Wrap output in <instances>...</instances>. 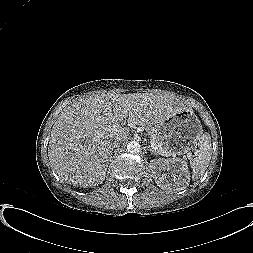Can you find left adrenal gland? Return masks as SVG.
I'll return each instance as SVG.
<instances>
[{
	"instance_id": "obj_1",
	"label": "left adrenal gland",
	"mask_w": 253,
	"mask_h": 253,
	"mask_svg": "<svg viewBox=\"0 0 253 253\" xmlns=\"http://www.w3.org/2000/svg\"><path fill=\"white\" fill-rule=\"evenodd\" d=\"M148 148L151 153H153L154 155H157V152L150 145L148 146Z\"/></svg>"
}]
</instances>
